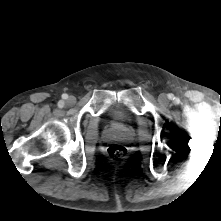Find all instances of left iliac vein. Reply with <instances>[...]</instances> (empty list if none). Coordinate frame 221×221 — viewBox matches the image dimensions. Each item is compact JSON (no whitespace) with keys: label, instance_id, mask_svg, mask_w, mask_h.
<instances>
[{"label":"left iliac vein","instance_id":"4c4485c4","mask_svg":"<svg viewBox=\"0 0 221 221\" xmlns=\"http://www.w3.org/2000/svg\"><path fill=\"white\" fill-rule=\"evenodd\" d=\"M158 101L161 103V104H167L169 102V99L167 97L166 94L162 93L159 95L158 97Z\"/></svg>","mask_w":221,"mask_h":221}]
</instances>
